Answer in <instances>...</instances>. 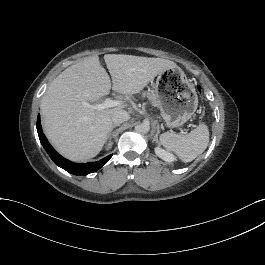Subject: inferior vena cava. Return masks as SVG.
<instances>
[{"mask_svg": "<svg viewBox=\"0 0 265 265\" xmlns=\"http://www.w3.org/2000/svg\"><path fill=\"white\" fill-rule=\"evenodd\" d=\"M129 118H130L129 113L124 110H118L112 114V122L114 124H121L125 121H128Z\"/></svg>", "mask_w": 265, "mask_h": 265, "instance_id": "602c4592", "label": "inferior vena cava"}]
</instances>
